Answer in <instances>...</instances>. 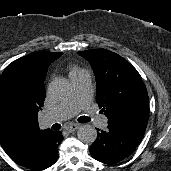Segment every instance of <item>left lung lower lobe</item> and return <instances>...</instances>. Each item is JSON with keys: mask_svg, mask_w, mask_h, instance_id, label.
Wrapping results in <instances>:
<instances>
[{"mask_svg": "<svg viewBox=\"0 0 171 171\" xmlns=\"http://www.w3.org/2000/svg\"><path fill=\"white\" fill-rule=\"evenodd\" d=\"M140 141L108 126L106 131L98 133L97 139L90 146V154L103 163H118L134 152Z\"/></svg>", "mask_w": 171, "mask_h": 171, "instance_id": "obj_1", "label": "left lung lower lobe"}]
</instances>
